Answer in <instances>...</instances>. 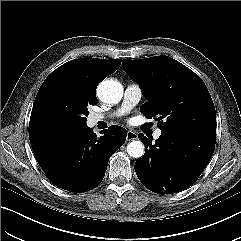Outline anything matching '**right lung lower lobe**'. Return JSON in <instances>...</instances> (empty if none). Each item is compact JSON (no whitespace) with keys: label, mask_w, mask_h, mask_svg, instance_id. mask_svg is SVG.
Here are the masks:
<instances>
[{"label":"right lung lower lobe","mask_w":241,"mask_h":241,"mask_svg":"<svg viewBox=\"0 0 241 241\" xmlns=\"http://www.w3.org/2000/svg\"><path fill=\"white\" fill-rule=\"evenodd\" d=\"M97 137L86 125L30 138L38 164L49 180L70 192H86L101 183L110 156L125 142L127 131L110 126Z\"/></svg>","instance_id":"1"}]
</instances>
